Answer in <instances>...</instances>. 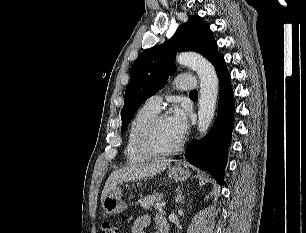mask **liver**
<instances>
[{"label": "liver", "instance_id": "6515ba94", "mask_svg": "<svg viewBox=\"0 0 306 233\" xmlns=\"http://www.w3.org/2000/svg\"><path fill=\"white\" fill-rule=\"evenodd\" d=\"M171 163V160L164 159L153 163L134 164L111 173L107 179L101 195V201L115 187L123 182L140 180L164 171Z\"/></svg>", "mask_w": 306, "mask_h": 233}]
</instances>
